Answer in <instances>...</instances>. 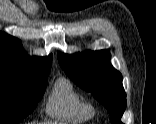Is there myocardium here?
<instances>
[{
	"label": "myocardium",
	"instance_id": "f54148a6",
	"mask_svg": "<svg viewBox=\"0 0 156 124\" xmlns=\"http://www.w3.org/2000/svg\"><path fill=\"white\" fill-rule=\"evenodd\" d=\"M88 108L95 112V106L92 103L87 104Z\"/></svg>",
	"mask_w": 156,
	"mask_h": 124
}]
</instances>
